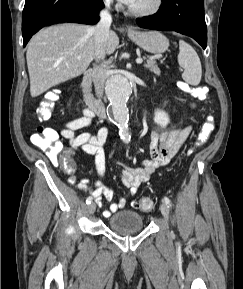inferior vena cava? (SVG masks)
<instances>
[{
    "instance_id": "602c4592",
    "label": "inferior vena cava",
    "mask_w": 243,
    "mask_h": 289,
    "mask_svg": "<svg viewBox=\"0 0 243 289\" xmlns=\"http://www.w3.org/2000/svg\"><path fill=\"white\" fill-rule=\"evenodd\" d=\"M111 0H104L105 9L100 12V20L94 27V40H95V52H96V61L105 58V47L106 42L109 37V29L112 23V17L109 13ZM105 80V70L102 65H96L93 69V82L95 86V91L98 97H101L103 94Z\"/></svg>"
}]
</instances>
